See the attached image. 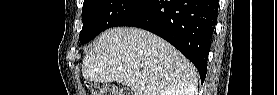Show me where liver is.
<instances>
[{"mask_svg": "<svg viewBox=\"0 0 277 95\" xmlns=\"http://www.w3.org/2000/svg\"><path fill=\"white\" fill-rule=\"evenodd\" d=\"M82 74L89 82L126 85L134 95H163L179 83L189 93H197L198 74L193 64L171 44L139 28L103 32L85 55Z\"/></svg>", "mask_w": 277, "mask_h": 95, "instance_id": "6515ba94", "label": "liver"}]
</instances>
